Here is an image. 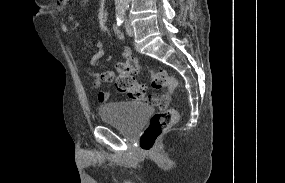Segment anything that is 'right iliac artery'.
<instances>
[{"mask_svg":"<svg viewBox=\"0 0 285 183\" xmlns=\"http://www.w3.org/2000/svg\"><path fill=\"white\" fill-rule=\"evenodd\" d=\"M125 9L119 8L116 12L117 25H121L124 21Z\"/></svg>","mask_w":285,"mask_h":183,"instance_id":"right-iliac-artery-1","label":"right iliac artery"}]
</instances>
